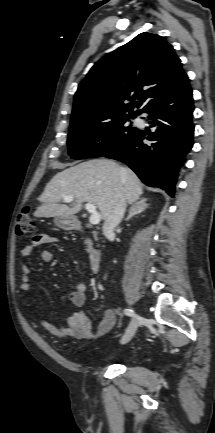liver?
<instances>
[{"instance_id":"obj_1","label":"liver","mask_w":215,"mask_h":433,"mask_svg":"<svg viewBox=\"0 0 215 433\" xmlns=\"http://www.w3.org/2000/svg\"><path fill=\"white\" fill-rule=\"evenodd\" d=\"M123 170V172H122ZM143 193L141 181L128 168L108 159H92L57 173L40 196L43 203L36 217H73L84 202L95 205L106 219L121 197L135 202ZM75 198L72 207L60 202L65 196Z\"/></svg>"}]
</instances>
